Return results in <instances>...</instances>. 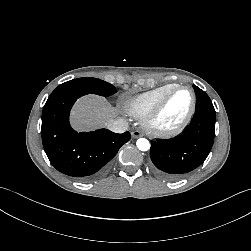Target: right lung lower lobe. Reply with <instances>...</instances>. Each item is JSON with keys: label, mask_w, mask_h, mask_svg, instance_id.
Here are the masks:
<instances>
[{"label": "right lung lower lobe", "mask_w": 251, "mask_h": 251, "mask_svg": "<svg viewBox=\"0 0 251 251\" xmlns=\"http://www.w3.org/2000/svg\"><path fill=\"white\" fill-rule=\"evenodd\" d=\"M82 93L65 92L49 96L42 113V142L51 164L60 172L82 181L102 176L130 133L107 129L74 131L69 113Z\"/></svg>", "instance_id": "obj_1"}]
</instances>
